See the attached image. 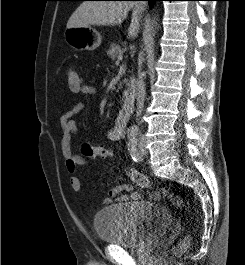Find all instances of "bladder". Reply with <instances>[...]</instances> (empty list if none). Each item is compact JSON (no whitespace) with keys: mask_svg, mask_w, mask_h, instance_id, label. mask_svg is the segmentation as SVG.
<instances>
[{"mask_svg":"<svg viewBox=\"0 0 245 265\" xmlns=\"http://www.w3.org/2000/svg\"><path fill=\"white\" fill-rule=\"evenodd\" d=\"M170 222L164 207L149 201H137L102 208L93 218V227L101 241L137 249L163 235Z\"/></svg>","mask_w":245,"mask_h":265,"instance_id":"obj_1","label":"bladder"}]
</instances>
